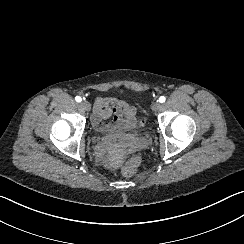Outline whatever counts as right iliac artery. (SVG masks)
<instances>
[{"instance_id": "1", "label": "right iliac artery", "mask_w": 244, "mask_h": 244, "mask_svg": "<svg viewBox=\"0 0 244 244\" xmlns=\"http://www.w3.org/2000/svg\"><path fill=\"white\" fill-rule=\"evenodd\" d=\"M75 100H76V102H81V101H82V99H81L80 96H76V97H75Z\"/></svg>"}]
</instances>
